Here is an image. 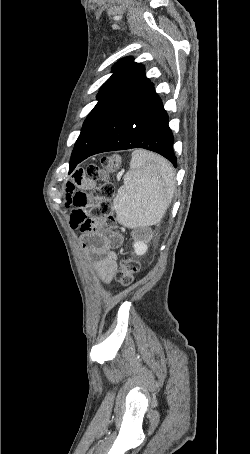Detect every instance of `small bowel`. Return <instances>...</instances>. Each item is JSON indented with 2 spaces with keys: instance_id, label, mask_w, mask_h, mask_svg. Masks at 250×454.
Instances as JSON below:
<instances>
[{
  "instance_id": "obj_1",
  "label": "small bowel",
  "mask_w": 250,
  "mask_h": 454,
  "mask_svg": "<svg viewBox=\"0 0 250 454\" xmlns=\"http://www.w3.org/2000/svg\"><path fill=\"white\" fill-rule=\"evenodd\" d=\"M94 181L87 178L82 170H77L67 185V200L73 207L70 224L81 232L80 242L89 253L92 265L104 282H110L118 268L114 249L123 242V235L100 227L87 215L89 205L86 191L92 189Z\"/></svg>"
}]
</instances>
